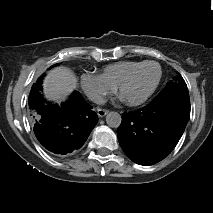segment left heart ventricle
<instances>
[{
	"label": "left heart ventricle",
	"instance_id": "left-heart-ventricle-1",
	"mask_svg": "<svg viewBox=\"0 0 213 213\" xmlns=\"http://www.w3.org/2000/svg\"><path fill=\"white\" fill-rule=\"evenodd\" d=\"M158 70L154 65L141 67L122 88L121 96L126 101L138 100L144 97L153 87Z\"/></svg>",
	"mask_w": 213,
	"mask_h": 213
}]
</instances>
